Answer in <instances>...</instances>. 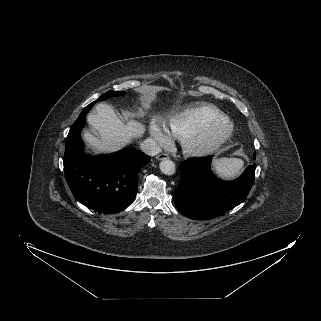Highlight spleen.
Listing matches in <instances>:
<instances>
[{"mask_svg":"<svg viewBox=\"0 0 321 321\" xmlns=\"http://www.w3.org/2000/svg\"><path fill=\"white\" fill-rule=\"evenodd\" d=\"M244 162L238 158H219L213 162L214 172L223 178H232L237 176Z\"/></svg>","mask_w":321,"mask_h":321,"instance_id":"obj_1","label":"spleen"}]
</instances>
